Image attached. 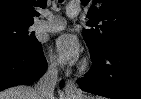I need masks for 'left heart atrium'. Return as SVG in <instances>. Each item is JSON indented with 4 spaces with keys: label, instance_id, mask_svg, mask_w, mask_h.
Segmentation results:
<instances>
[{
    "label": "left heart atrium",
    "instance_id": "39dd6f15",
    "mask_svg": "<svg viewBox=\"0 0 141 99\" xmlns=\"http://www.w3.org/2000/svg\"><path fill=\"white\" fill-rule=\"evenodd\" d=\"M53 46L60 59L67 64L76 63L82 52L79 40L72 34L59 36L55 39Z\"/></svg>",
    "mask_w": 141,
    "mask_h": 99
}]
</instances>
